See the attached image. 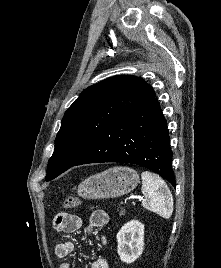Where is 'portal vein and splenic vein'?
<instances>
[{"instance_id":"portal-vein-and-splenic-vein-1","label":"portal vein and splenic vein","mask_w":221,"mask_h":268,"mask_svg":"<svg viewBox=\"0 0 221 268\" xmlns=\"http://www.w3.org/2000/svg\"><path fill=\"white\" fill-rule=\"evenodd\" d=\"M140 200L143 198V197H138Z\"/></svg>"}]
</instances>
